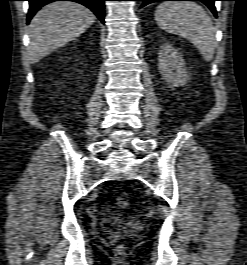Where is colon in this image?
Listing matches in <instances>:
<instances>
[{
	"mask_svg": "<svg viewBox=\"0 0 247 265\" xmlns=\"http://www.w3.org/2000/svg\"><path fill=\"white\" fill-rule=\"evenodd\" d=\"M116 203L119 208L126 209L130 206L131 198L130 195L127 192H120L116 197ZM117 252L119 254H122L124 252L123 246L117 247Z\"/></svg>",
	"mask_w": 247,
	"mask_h": 265,
	"instance_id": "1",
	"label": "colon"
}]
</instances>
